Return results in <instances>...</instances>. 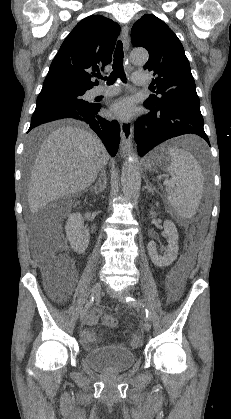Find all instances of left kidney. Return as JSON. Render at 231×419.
I'll use <instances>...</instances> for the list:
<instances>
[{
	"label": "left kidney",
	"mask_w": 231,
	"mask_h": 419,
	"mask_svg": "<svg viewBox=\"0 0 231 419\" xmlns=\"http://www.w3.org/2000/svg\"><path fill=\"white\" fill-rule=\"evenodd\" d=\"M150 215L153 217L156 216V213L150 212ZM163 227L167 235L168 242V249L166 253L163 256L159 255L155 242L150 241L148 243L149 256L154 265L157 267H166L171 265L178 255V232L175 224L170 220H166L163 224Z\"/></svg>",
	"instance_id": "left-kidney-1"
}]
</instances>
